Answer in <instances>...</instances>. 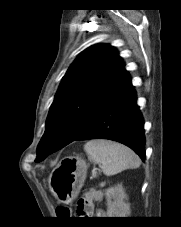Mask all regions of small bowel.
Listing matches in <instances>:
<instances>
[{
    "label": "small bowel",
    "mask_w": 181,
    "mask_h": 227,
    "mask_svg": "<svg viewBox=\"0 0 181 227\" xmlns=\"http://www.w3.org/2000/svg\"><path fill=\"white\" fill-rule=\"evenodd\" d=\"M102 199L103 193L100 190H88L78 201L77 215L85 217H104L106 212L102 209L95 210L94 206L96 202H101Z\"/></svg>",
    "instance_id": "small-bowel-1"
}]
</instances>
